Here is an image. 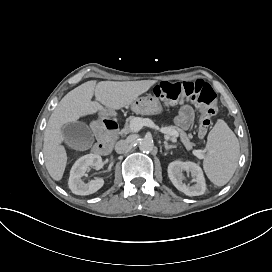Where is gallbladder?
Wrapping results in <instances>:
<instances>
[{"instance_id":"obj_1","label":"gallbladder","mask_w":272,"mask_h":272,"mask_svg":"<svg viewBox=\"0 0 272 272\" xmlns=\"http://www.w3.org/2000/svg\"><path fill=\"white\" fill-rule=\"evenodd\" d=\"M65 143L73 149H88L94 142L91 129L83 122H69L62 127Z\"/></svg>"}]
</instances>
